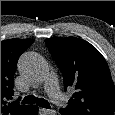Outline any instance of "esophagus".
Returning a JSON list of instances; mask_svg holds the SVG:
<instances>
[{
	"label": "esophagus",
	"instance_id": "esophagus-1",
	"mask_svg": "<svg viewBox=\"0 0 115 115\" xmlns=\"http://www.w3.org/2000/svg\"><path fill=\"white\" fill-rule=\"evenodd\" d=\"M55 112H56L55 110H49V109H44V108L40 109V113L43 115H54Z\"/></svg>",
	"mask_w": 115,
	"mask_h": 115
}]
</instances>
